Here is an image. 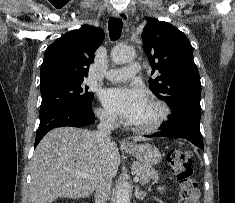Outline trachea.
<instances>
[{"label": "trachea", "mask_w": 235, "mask_h": 203, "mask_svg": "<svg viewBox=\"0 0 235 203\" xmlns=\"http://www.w3.org/2000/svg\"><path fill=\"white\" fill-rule=\"evenodd\" d=\"M122 20L111 17L108 21L109 35L112 41H116L122 32Z\"/></svg>", "instance_id": "3493384b"}]
</instances>
